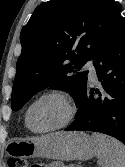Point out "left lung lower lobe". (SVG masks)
<instances>
[{
	"mask_svg": "<svg viewBox=\"0 0 125 167\" xmlns=\"http://www.w3.org/2000/svg\"><path fill=\"white\" fill-rule=\"evenodd\" d=\"M95 57L93 63L102 94L86 85L76 103V120L66 130L101 132L125 144V22L121 14Z\"/></svg>",
	"mask_w": 125,
	"mask_h": 167,
	"instance_id": "1",
	"label": "left lung lower lobe"
}]
</instances>
